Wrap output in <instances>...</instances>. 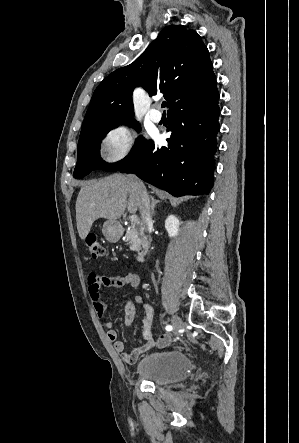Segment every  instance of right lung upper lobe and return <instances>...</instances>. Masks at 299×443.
I'll return each mask as SVG.
<instances>
[{
  "mask_svg": "<svg viewBox=\"0 0 299 443\" xmlns=\"http://www.w3.org/2000/svg\"><path fill=\"white\" fill-rule=\"evenodd\" d=\"M207 47L183 25L165 27L157 39L130 65L106 77L96 88L80 137L97 128L133 118L132 92L137 86L149 94L158 91L170 107L202 84L212 73Z\"/></svg>",
  "mask_w": 299,
  "mask_h": 443,
  "instance_id": "right-lung-upper-lobe-1",
  "label": "right lung upper lobe"
}]
</instances>
